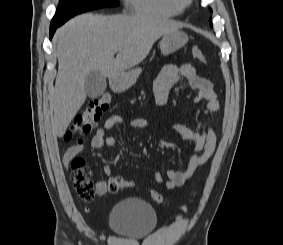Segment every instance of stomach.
Wrapping results in <instances>:
<instances>
[{
	"label": "stomach",
	"mask_w": 283,
	"mask_h": 245,
	"mask_svg": "<svg viewBox=\"0 0 283 245\" xmlns=\"http://www.w3.org/2000/svg\"><path fill=\"white\" fill-rule=\"evenodd\" d=\"M188 41V36L179 30L163 35L160 50L163 55H169L182 48ZM142 72L141 68L132 69L114 78V85L118 89H126L134 85Z\"/></svg>",
	"instance_id": "obj_1"
}]
</instances>
